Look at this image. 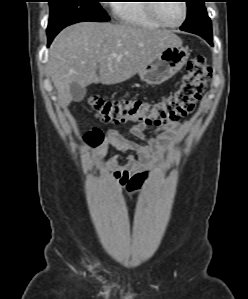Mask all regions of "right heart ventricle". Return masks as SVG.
Masks as SVG:
<instances>
[{
	"instance_id": "obj_1",
	"label": "right heart ventricle",
	"mask_w": 248,
	"mask_h": 299,
	"mask_svg": "<svg viewBox=\"0 0 248 299\" xmlns=\"http://www.w3.org/2000/svg\"><path fill=\"white\" fill-rule=\"evenodd\" d=\"M114 4V11L120 23L141 27L158 29L162 26L151 16L149 0L119 1Z\"/></svg>"
}]
</instances>
